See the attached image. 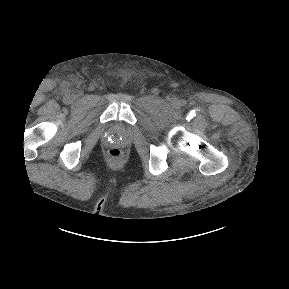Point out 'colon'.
I'll list each match as a JSON object with an SVG mask.
<instances>
[{"instance_id":"1","label":"colon","mask_w":289,"mask_h":289,"mask_svg":"<svg viewBox=\"0 0 289 289\" xmlns=\"http://www.w3.org/2000/svg\"><path fill=\"white\" fill-rule=\"evenodd\" d=\"M123 153L122 150L118 147H113L109 149L108 151V156L113 160V161H119L122 157Z\"/></svg>"}]
</instances>
